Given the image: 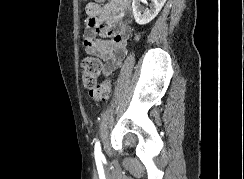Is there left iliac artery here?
Returning a JSON list of instances; mask_svg holds the SVG:
<instances>
[{"instance_id": "left-iliac-artery-1", "label": "left iliac artery", "mask_w": 244, "mask_h": 179, "mask_svg": "<svg viewBox=\"0 0 244 179\" xmlns=\"http://www.w3.org/2000/svg\"><path fill=\"white\" fill-rule=\"evenodd\" d=\"M94 150H95L94 151L95 156H103V154L101 152V146H100V142L99 141H97L95 143V149Z\"/></svg>"}]
</instances>
